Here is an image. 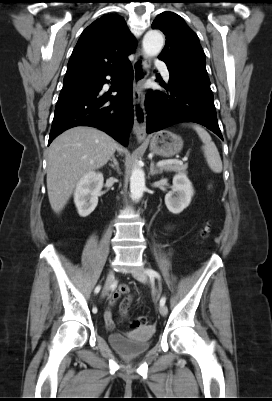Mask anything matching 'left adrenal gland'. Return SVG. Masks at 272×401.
Listing matches in <instances>:
<instances>
[{"instance_id": "obj_1", "label": "left adrenal gland", "mask_w": 272, "mask_h": 401, "mask_svg": "<svg viewBox=\"0 0 272 401\" xmlns=\"http://www.w3.org/2000/svg\"><path fill=\"white\" fill-rule=\"evenodd\" d=\"M162 173V170L161 169H157L156 167H155V164H154V161H151V164H150V175L151 176H154V175H157V174H161Z\"/></svg>"}]
</instances>
